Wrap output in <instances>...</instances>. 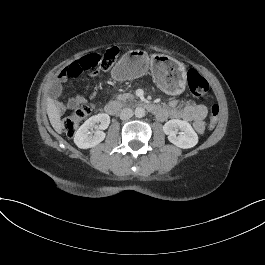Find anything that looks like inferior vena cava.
Returning <instances> with one entry per match:
<instances>
[{
  "mask_svg": "<svg viewBox=\"0 0 265 265\" xmlns=\"http://www.w3.org/2000/svg\"><path fill=\"white\" fill-rule=\"evenodd\" d=\"M133 116V110L130 108H123L120 113V119L127 120Z\"/></svg>",
  "mask_w": 265,
  "mask_h": 265,
  "instance_id": "602c4592",
  "label": "inferior vena cava"
}]
</instances>
